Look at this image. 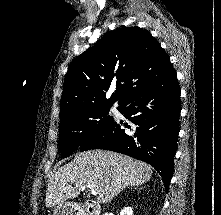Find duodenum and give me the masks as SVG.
Wrapping results in <instances>:
<instances>
[{
  "label": "duodenum",
  "mask_w": 221,
  "mask_h": 215,
  "mask_svg": "<svg viewBox=\"0 0 221 215\" xmlns=\"http://www.w3.org/2000/svg\"><path fill=\"white\" fill-rule=\"evenodd\" d=\"M82 215H100V207L94 202H87L81 208Z\"/></svg>",
  "instance_id": "1"
}]
</instances>
